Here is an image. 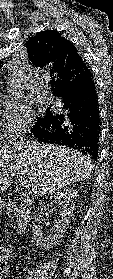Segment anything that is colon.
I'll return each instance as SVG.
<instances>
[{"label": "colon", "mask_w": 113, "mask_h": 279, "mask_svg": "<svg viewBox=\"0 0 113 279\" xmlns=\"http://www.w3.org/2000/svg\"><path fill=\"white\" fill-rule=\"evenodd\" d=\"M3 259H4V249L0 247V263L3 261Z\"/></svg>", "instance_id": "1"}]
</instances>
